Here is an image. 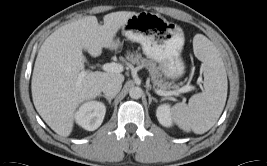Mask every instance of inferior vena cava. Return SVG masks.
<instances>
[{
	"instance_id": "obj_1",
	"label": "inferior vena cava",
	"mask_w": 267,
	"mask_h": 166,
	"mask_svg": "<svg viewBox=\"0 0 267 166\" xmlns=\"http://www.w3.org/2000/svg\"><path fill=\"white\" fill-rule=\"evenodd\" d=\"M122 87V81L118 78H110L106 80L102 86V92L106 96H115L119 93Z\"/></svg>"
}]
</instances>
